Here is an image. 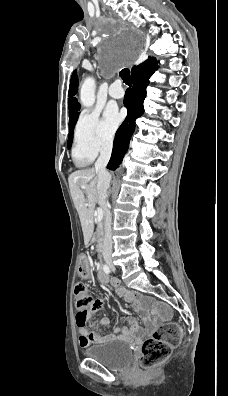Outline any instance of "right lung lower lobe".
I'll return each mask as SVG.
<instances>
[{"instance_id":"obj_1","label":"right lung lower lobe","mask_w":228,"mask_h":396,"mask_svg":"<svg viewBox=\"0 0 228 396\" xmlns=\"http://www.w3.org/2000/svg\"><path fill=\"white\" fill-rule=\"evenodd\" d=\"M157 63L155 58H149L138 65L132 72L133 87L127 90L124 97V105L128 110V114L114 139L111 159L107 165L110 170L114 171L119 167L128 150L129 142L134 132L135 120L144 113L143 102L146 97V87L149 84V78L158 68Z\"/></svg>"}]
</instances>
